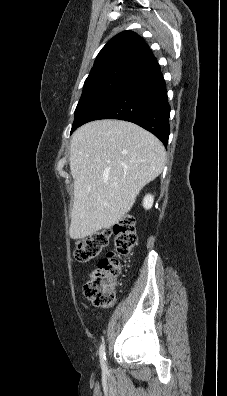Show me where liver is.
Masks as SVG:
<instances>
[{"label": "liver", "mask_w": 227, "mask_h": 396, "mask_svg": "<svg viewBox=\"0 0 227 396\" xmlns=\"http://www.w3.org/2000/svg\"><path fill=\"white\" fill-rule=\"evenodd\" d=\"M166 161L162 143L122 120H97L79 127L70 146L74 203L69 234L83 239L118 223L140 190L158 177Z\"/></svg>", "instance_id": "6515ba94"}]
</instances>
